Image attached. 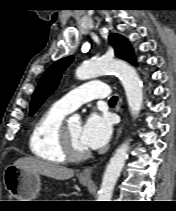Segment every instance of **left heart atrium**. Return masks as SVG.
<instances>
[{
  "instance_id": "39dd6f15",
  "label": "left heart atrium",
  "mask_w": 176,
  "mask_h": 211,
  "mask_svg": "<svg viewBox=\"0 0 176 211\" xmlns=\"http://www.w3.org/2000/svg\"><path fill=\"white\" fill-rule=\"evenodd\" d=\"M112 126L107 115L91 114L81 130V142L87 149L103 147L110 139Z\"/></svg>"
}]
</instances>
